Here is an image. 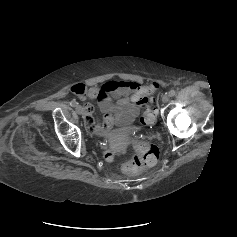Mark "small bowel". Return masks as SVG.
Masks as SVG:
<instances>
[{
    "label": "small bowel",
    "instance_id": "obj_1",
    "mask_svg": "<svg viewBox=\"0 0 237 237\" xmlns=\"http://www.w3.org/2000/svg\"><path fill=\"white\" fill-rule=\"evenodd\" d=\"M70 90L81 99L98 101L103 113L102 121L95 120L91 104L84 107L83 116L87 130L97 135L107 134L114 125L131 123L145 106L149 95L146 87L134 81H111L91 87L78 83Z\"/></svg>",
    "mask_w": 237,
    "mask_h": 237
}]
</instances>
